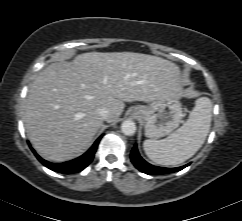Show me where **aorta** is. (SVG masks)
Instances as JSON below:
<instances>
[{"label":"aorta","mask_w":242,"mask_h":221,"mask_svg":"<svg viewBox=\"0 0 242 221\" xmlns=\"http://www.w3.org/2000/svg\"><path fill=\"white\" fill-rule=\"evenodd\" d=\"M122 132L127 136H132L136 132V125L132 120H125L121 124Z\"/></svg>","instance_id":"obj_1"}]
</instances>
